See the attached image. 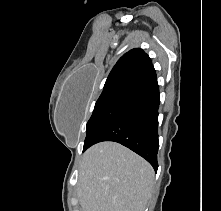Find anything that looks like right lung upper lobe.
Here are the masks:
<instances>
[{
  "label": "right lung upper lobe",
  "mask_w": 221,
  "mask_h": 211,
  "mask_svg": "<svg viewBox=\"0 0 221 211\" xmlns=\"http://www.w3.org/2000/svg\"><path fill=\"white\" fill-rule=\"evenodd\" d=\"M157 82L151 59L142 49L124 54L110 72L102 93L117 89L139 90Z\"/></svg>",
  "instance_id": "1"
}]
</instances>
